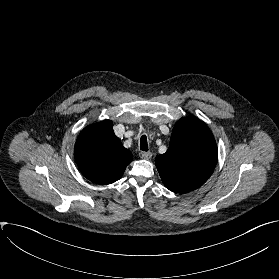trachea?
<instances>
[{
  "mask_svg": "<svg viewBox=\"0 0 279 279\" xmlns=\"http://www.w3.org/2000/svg\"><path fill=\"white\" fill-rule=\"evenodd\" d=\"M140 149L142 151H148L147 137L146 135H142L140 138Z\"/></svg>",
  "mask_w": 279,
  "mask_h": 279,
  "instance_id": "3493384b",
  "label": "trachea"
}]
</instances>
